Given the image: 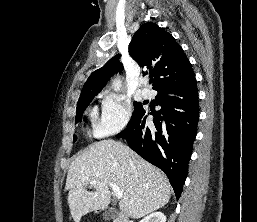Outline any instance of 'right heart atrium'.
Returning <instances> with one entry per match:
<instances>
[{
	"label": "right heart atrium",
	"mask_w": 257,
	"mask_h": 222,
	"mask_svg": "<svg viewBox=\"0 0 257 222\" xmlns=\"http://www.w3.org/2000/svg\"><path fill=\"white\" fill-rule=\"evenodd\" d=\"M111 107L121 113L122 121L118 126L108 127L102 121L94 122V134L97 137L110 136L121 131L130 121L132 115L131 105L117 96H108L104 99V108Z\"/></svg>",
	"instance_id": "d8ad5b80"
}]
</instances>
